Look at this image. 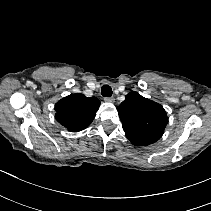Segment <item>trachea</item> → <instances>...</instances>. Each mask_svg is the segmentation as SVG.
Segmentation results:
<instances>
[{
  "mask_svg": "<svg viewBox=\"0 0 211 211\" xmlns=\"http://www.w3.org/2000/svg\"><path fill=\"white\" fill-rule=\"evenodd\" d=\"M101 94L103 97H111L112 96V89L109 85H103L101 88Z\"/></svg>",
  "mask_w": 211,
  "mask_h": 211,
  "instance_id": "obj_1",
  "label": "trachea"
}]
</instances>
